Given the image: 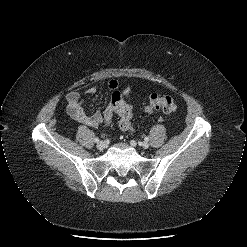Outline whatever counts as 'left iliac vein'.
<instances>
[{
  "instance_id": "1",
  "label": "left iliac vein",
  "mask_w": 247,
  "mask_h": 247,
  "mask_svg": "<svg viewBox=\"0 0 247 247\" xmlns=\"http://www.w3.org/2000/svg\"><path fill=\"white\" fill-rule=\"evenodd\" d=\"M149 143L147 142V141H145V142H143L142 143V147L144 148V149H147V148H149Z\"/></svg>"
}]
</instances>
